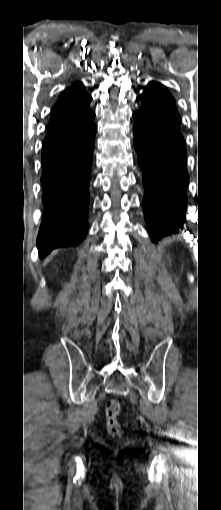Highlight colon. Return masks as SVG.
Returning <instances> with one entry per match:
<instances>
[{
	"label": "colon",
	"instance_id": "5ec220e1",
	"mask_svg": "<svg viewBox=\"0 0 221 510\" xmlns=\"http://www.w3.org/2000/svg\"><path fill=\"white\" fill-rule=\"evenodd\" d=\"M120 409V403L116 399L109 400L105 407L107 430L113 437H118L121 434V424L118 419Z\"/></svg>",
	"mask_w": 221,
	"mask_h": 510
}]
</instances>
